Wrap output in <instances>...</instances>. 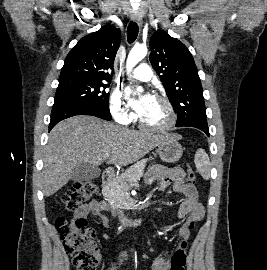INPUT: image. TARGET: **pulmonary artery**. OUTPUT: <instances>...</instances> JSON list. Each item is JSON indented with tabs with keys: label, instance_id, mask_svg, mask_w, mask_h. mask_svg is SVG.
I'll return each instance as SVG.
<instances>
[{
	"label": "pulmonary artery",
	"instance_id": "e3ab8cb5",
	"mask_svg": "<svg viewBox=\"0 0 267 270\" xmlns=\"http://www.w3.org/2000/svg\"><path fill=\"white\" fill-rule=\"evenodd\" d=\"M131 76L138 80L148 81L152 78L153 72L148 64L142 63L132 71Z\"/></svg>",
	"mask_w": 267,
	"mask_h": 270
}]
</instances>
